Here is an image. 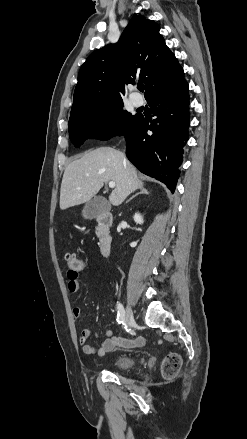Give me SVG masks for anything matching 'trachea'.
<instances>
[{
    "instance_id": "trachea-1",
    "label": "trachea",
    "mask_w": 247,
    "mask_h": 439,
    "mask_svg": "<svg viewBox=\"0 0 247 439\" xmlns=\"http://www.w3.org/2000/svg\"><path fill=\"white\" fill-rule=\"evenodd\" d=\"M144 89H145L144 85H139V86H138V90H139V91L143 92Z\"/></svg>"
}]
</instances>
